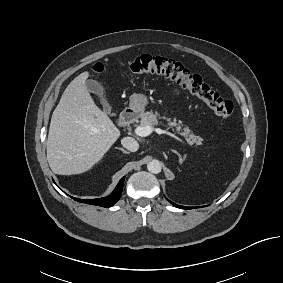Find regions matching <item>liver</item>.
Masks as SVG:
<instances>
[{"instance_id":"obj_1","label":"liver","mask_w":283,"mask_h":283,"mask_svg":"<svg viewBox=\"0 0 283 283\" xmlns=\"http://www.w3.org/2000/svg\"><path fill=\"white\" fill-rule=\"evenodd\" d=\"M89 72L67 86L55 108L47 139V160L59 175L91 169L120 136V130L94 103L86 87Z\"/></svg>"}]
</instances>
